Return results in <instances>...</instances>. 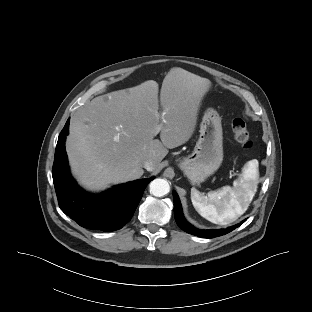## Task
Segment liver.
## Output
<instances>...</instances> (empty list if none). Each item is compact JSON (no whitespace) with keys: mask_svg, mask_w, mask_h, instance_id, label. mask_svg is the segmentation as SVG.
<instances>
[{"mask_svg":"<svg viewBox=\"0 0 312 312\" xmlns=\"http://www.w3.org/2000/svg\"><path fill=\"white\" fill-rule=\"evenodd\" d=\"M211 86L206 78L172 68L161 87V113L153 80L95 97L70 121L66 151L73 174L86 189L99 191L140 178L144 160H153L156 169L168 149L193 135ZM158 126L161 141L154 139Z\"/></svg>","mask_w":312,"mask_h":312,"instance_id":"1","label":"liver"}]
</instances>
